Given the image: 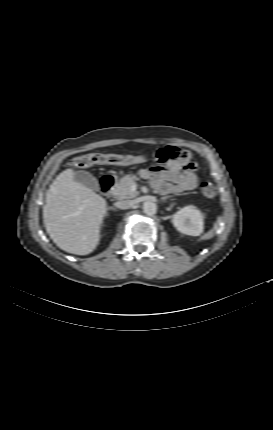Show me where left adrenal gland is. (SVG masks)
<instances>
[{
	"instance_id": "left-adrenal-gland-1",
	"label": "left adrenal gland",
	"mask_w": 273,
	"mask_h": 430,
	"mask_svg": "<svg viewBox=\"0 0 273 430\" xmlns=\"http://www.w3.org/2000/svg\"><path fill=\"white\" fill-rule=\"evenodd\" d=\"M171 196H165L162 198V200L165 202L168 198H170Z\"/></svg>"
}]
</instances>
